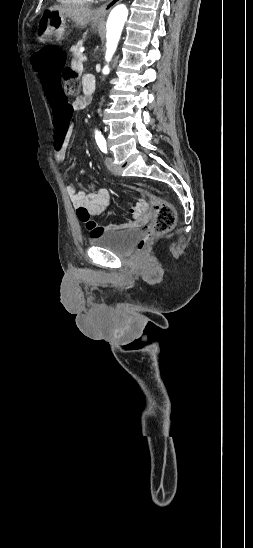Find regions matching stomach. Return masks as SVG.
Segmentation results:
<instances>
[{"instance_id": "stomach-1", "label": "stomach", "mask_w": 253, "mask_h": 548, "mask_svg": "<svg viewBox=\"0 0 253 548\" xmlns=\"http://www.w3.org/2000/svg\"><path fill=\"white\" fill-rule=\"evenodd\" d=\"M99 19L94 20V24H99ZM66 28V17L59 11L48 9L44 12L40 25L38 40L41 43H47L53 40L59 41L63 39Z\"/></svg>"}]
</instances>
